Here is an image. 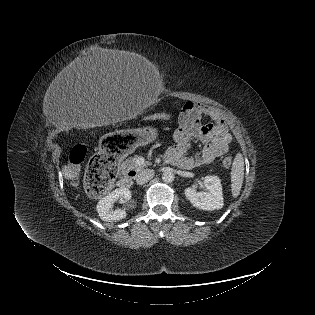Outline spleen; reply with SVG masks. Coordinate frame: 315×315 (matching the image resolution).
<instances>
[{
	"label": "spleen",
	"instance_id": "obj_1",
	"mask_svg": "<svg viewBox=\"0 0 315 315\" xmlns=\"http://www.w3.org/2000/svg\"><path fill=\"white\" fill-rule=\"evenodd\" d=\"M244 179V158L238 153L234 158L231 169V192L233 197L240 194Z\"/></svg>",
	"mask_w": 315,
	"mask_h": 315
}]
</instances>
